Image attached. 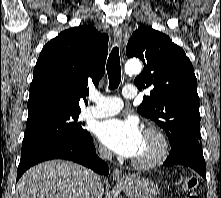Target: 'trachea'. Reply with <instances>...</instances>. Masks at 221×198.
Instances as JSON below:
<instances>
[{"label": "trachea", "mask_w": 221, "mask_h": 198, "mask_svg": "<svg viewBox=\"0 0 221 198\" xmlns=\"http://www.w3.org/2000/svg\"><path fill=\"white\" fill-rule=\"evenodd\" d=\"M109 89H116L121 81V67L118 47H114L107 61Z\"/></svg>", "instance_id": "3493384b"}]
</instances>
